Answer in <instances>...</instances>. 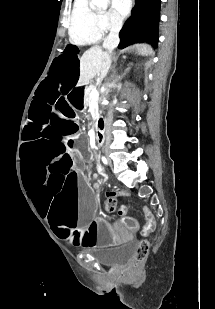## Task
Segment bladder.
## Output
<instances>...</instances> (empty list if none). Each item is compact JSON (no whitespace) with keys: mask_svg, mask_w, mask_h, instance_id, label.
I'll list each match as a JSON object with an SVG mask.
<instances>
[{"mask_svg":"<svg viewBox=\"0 0 215 309\" xmlns=\"http://www.w3.org/2000/svg\"><path fill=\"white\" fill-rule=\"evenodd\" d=\"M136 254V247L133 244H128L115 251L97 255V261L108 267H121L127 265Z\"/></svg>","mask_w":215,"mask_h":309,"instance_id":"1","label":"bladder"}]
</instances>
